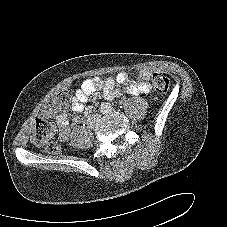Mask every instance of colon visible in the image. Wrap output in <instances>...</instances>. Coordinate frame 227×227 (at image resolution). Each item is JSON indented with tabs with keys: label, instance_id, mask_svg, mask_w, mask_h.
I'll use <instances>...</instances> for the list:
<instances>
[{
	"label": "colon",
	"instance_id": "5ec220e1",
	"mask_svg": "<svg viewBox=\"0 0 227 227\" xmlns=\"http://www.w3.org/2000/svg\"><path fill=\"white\" fill-rule=\"evenodd\" d=\"M152 84L156 92L166 93L170 89L171 82L166 75L154 73ZM70 98L68 91H61L43 101L40 107L41 114L35 119L34 130L31 135V140L35 146L51 154L60 152L61 146L55 138L54 128L49 117L57 110L67 107Z\"/></svg>",
	"mask_w": 227,
	"mask_h": 227
}]
</instances>
